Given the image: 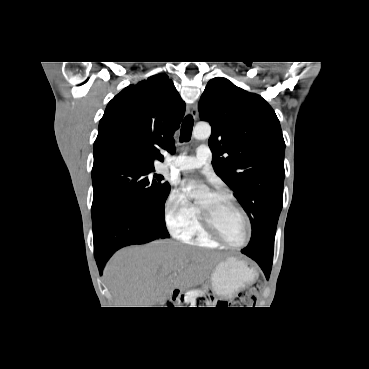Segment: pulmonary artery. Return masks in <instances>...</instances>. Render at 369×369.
Here are the masks:
<instances>
[{"instance_id": "obj_1", "label": "pulmonary artery", "mask_w": 369, "mask_h": 369, "mask_svg": "<svg viewBox=\"0 0 369 369\" xmlns=\"http://www.w3.org/2000/svg\"><path fill=\"white\" fill-rule=\"evenodd\" d=\"M212 160L211 150L206 145L198 147L195 156L181 155L171 158L167 161L166 165L169 167H175L181 171H188L199 169L209 166Z\"/></svg>"}]
</instances>
